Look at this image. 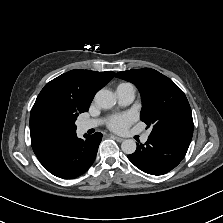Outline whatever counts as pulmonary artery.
<instances>
[{
  "mask_svg": "<svg viewBox=\"0 0 223 223\" xmlns=\"http://www.w3.org/2000/svg\"><path fill=\"white\" fill-rule=\"evenodd\" d=\"M135 92L136 90L133 85L125 83V84H120L117 87L115 94L121 105H128L134 100ZM98 124H99L98 120H87L82 124V126L85 129H90L96 127ZM139 138L141 141L146 142L149 140L150 135L148 132L143 131L140 133Z\"/></svg>",
  "mask_w": 223,
  "mask_h": 223,
  "instance_id": "obj_1",
  "label": "pulmonary artery"
}]
</instances>
